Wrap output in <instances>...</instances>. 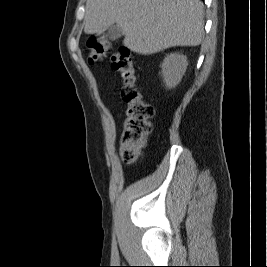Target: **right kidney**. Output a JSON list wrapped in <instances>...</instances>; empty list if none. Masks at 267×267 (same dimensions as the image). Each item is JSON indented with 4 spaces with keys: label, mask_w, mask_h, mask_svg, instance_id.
Wrapping results in <instances>:
<instances>
[{
    "label": "right kidney",
    "mask_w": 267,
    "mask_h": 267,
    "mask_svg": "<svg viewBox=\"0 0 267 267\" xmlns=\"http://www.w3.org/2000/svg\"><path fill=\"white\" fill-rule=\"evenodd\" d=\"M188 62L187 57L179 53L167 55L161 65V74L166 87L171 89L181 81Z\"/></svg>",
    "instance_id": "obj_1"
}]
</instances>
